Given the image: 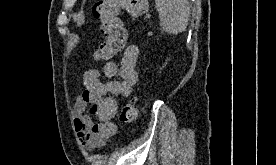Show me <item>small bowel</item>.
Wrapping results in <instances>:
<instances>
[{"label": "small bowel", "mask_w": 276, "mask_h": 165, "mask_svg": "<svg viewBox=\"0 0 276 165\" xmlns=\"http://www.w3.org/2000/svg\"><path fill=\"white\" fill-rule=\"evenodd\" d=\"M138 57V46L131 44L124 50L119 64L108 61L101 69H90L84 74V90L76 99L72 112L77 137L86 149L102 147L106 140L115 134V96H131L138 80ZM101 75L108 81L102 82ZM117 76L119 79L115 80ZM91 116H94L97 122H93Z\"/></svg>", "instance_id": "1"}]
</instances>
